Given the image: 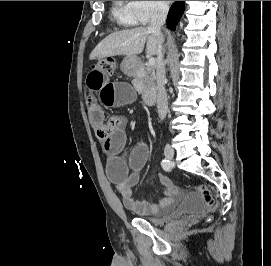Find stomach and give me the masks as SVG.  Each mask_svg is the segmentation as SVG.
<instances>
[{
	"label": "stomach",
	"mask_w": 271,
	"mask_h": 266,
	"mask_svg": "<svg viewBox=\"0 0 271 266\" xmlns=\"http://www.w3.org/2000/svg\"><path fill=\"white\" fill-rule=\"evenodd\" d=\"M138 64V58L136 56H127L124 58L121 67L126 72H131Z\"/></svg>",
	"instance_id": "0dacf381"
}]
</instances>
